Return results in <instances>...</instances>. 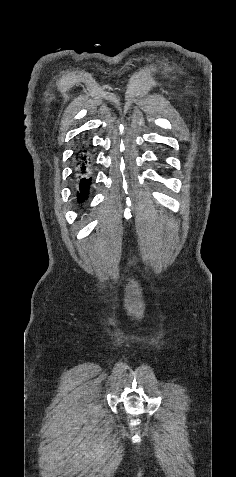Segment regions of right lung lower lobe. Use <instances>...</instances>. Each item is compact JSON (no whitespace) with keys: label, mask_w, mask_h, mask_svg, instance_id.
<instances>
[{"label":"right lung lower lobe","mask_w":236,"mask_h":477,"mask_svg":"<svg viewBox=\"0 0 236 477\" xmlns=\"http://www.w3.org/2000/svg\"><path fill=\"white\" fill-rule=\"evenodd\" d=\"M91 153L86 144H81L76 153L75 192L77 201L82 203L87 198L92 178L90 177Z\"/></svg>","instance_id":"98d812e1"}]
</instances>
